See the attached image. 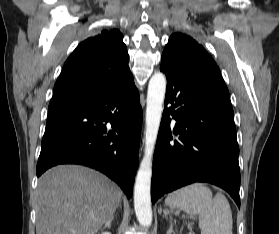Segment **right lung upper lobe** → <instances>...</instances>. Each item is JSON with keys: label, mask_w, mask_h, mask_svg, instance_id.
Instances as JSON below:
<instances>
[{"label": "right lung upper lobe", "mask_w": 279, "mask_h": 234, "mask_svg": "<svg viewBox=\"0 0 279 234\" xmlns=\"http://www.w3.org/2000/svg\"><path fill=\"white\" fill-rule=\"evenodd\" d=\"M122 39L119 30L109 29L81 42L64 64L49 107L88 98L132 75Z\"/></svg>", "instance_id": "right-lung-upper-lobe-1"}]
</instances>
